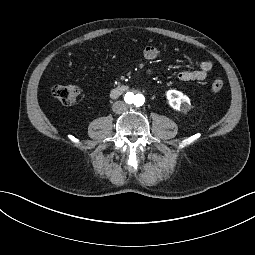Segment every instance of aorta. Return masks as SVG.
<instances>
[{"mask_svg":"<svg viewBox=\"0 0 255 255\" xmlns=\"http://www.w3.org/2000/svg\"><path fill=\"white\" fill-rule=\"evenodd\" d=\"M125 100L128 104H132L135 106H142L145 102V97L135 91H128L125 94Z\"/></svg>","mask_w":255,"mask_h":255,"instance_id":"aorta-1","label":"aorta"}]
</instances>
